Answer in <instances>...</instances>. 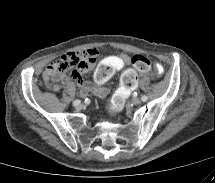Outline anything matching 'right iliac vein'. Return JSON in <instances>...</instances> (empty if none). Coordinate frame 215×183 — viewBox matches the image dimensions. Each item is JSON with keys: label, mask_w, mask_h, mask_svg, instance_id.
I'll return each mask as SVG.
<instances>
[{"label": "right iliac vein", "mask_w": 215, "mask_h": 183, "mask_svg": "<svg viewBox=\"0 0 215 183\" xmlns=\"http://www.w3.org/2000/svg\"><path fill=\"white\" fill-rule=\"evenodd\" d=\"M77 110H81L82 109V105L81 104H79V105H76V107H75Z\"/></svg>", "instance_id": "63e3f726"}]
</instances>
